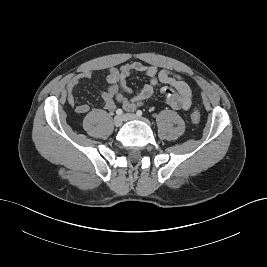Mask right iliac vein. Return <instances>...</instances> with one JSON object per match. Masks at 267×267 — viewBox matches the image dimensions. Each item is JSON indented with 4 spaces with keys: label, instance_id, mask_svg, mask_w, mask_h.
Returning a JSON list of instances; mask_svg holds the SVG:
<instances>
[{
    "label": "right iliac vein",
    "instance_id": "obj_1",
    "mask_svg": "<svg viewBox=\"0 0 267 267\" xmlns=\"http://www.w3.org/2000/svg\"><path fill=\"white\" fill-rule=\"evenodd\" d=\"M123 120H124L123 116H120V115L115 116L114 117V125L116 127H120L123 123Z\"/></svg>",
    "mask_w": 267,
    "mask_h": 267
}]
</instances>
